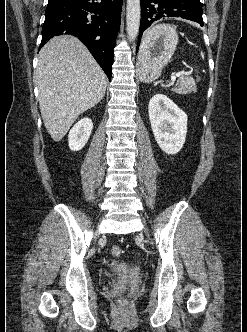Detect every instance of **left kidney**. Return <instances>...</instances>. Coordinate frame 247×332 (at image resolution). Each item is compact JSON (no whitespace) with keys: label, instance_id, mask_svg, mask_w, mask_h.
I'll list each match as a JSON object with an SVG mask.
<instances>
[{"label":"left kidney","instance_id":"left-kidney-1","mask_svg":"<svg viewBox=\"0 0 247 332\" xmlns=\"http://www.w3.org/2000/svg\"><path fill=\"white\" fill-rule=\"evenodd\" d=\"M148 113L159 147L167 154L178 153L186 139V113L163 94H156L150 99Z\"/></svg>","mask_w":247,"mask_h":332}]
</instances>
